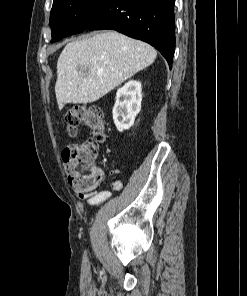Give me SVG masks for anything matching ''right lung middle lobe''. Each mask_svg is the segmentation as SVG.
<instances>
[{
  "instance_id": "right-lung-middle-lobe-1",
  "label": "right lung middle lobe",
  "mask_w": 247,
  "mask_h": 296,
  "mask_svg": "<svg viewBox=\"0 0 247 296\" xmlns=\"http://www.w3.org/2000/svg\"><path fill=\"white\" fill-rule=\"evenodd\" d=\"M104 0H54L50 13L52 40L83 32L95 8Z\"/></svg>"
}]
</instances>
